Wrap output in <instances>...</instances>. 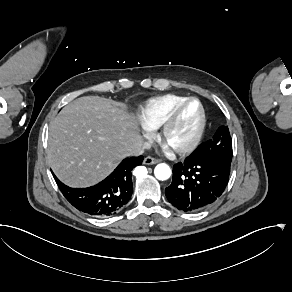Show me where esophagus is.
Returning a JSON list of instances; mask_svg holds the SVG:
<instances>
[{
	"instance_id": "34e87169",
	"label": "esophagus",
	"mask_w": 292,
	"mask_h": 292,
	"mask_svg": "<svg viewBox=\"0 0 292 292\" xmlns=\"http://www.w3.org/2000/svg\"><path fill=\"white\" fill-rule=\"evenodd\" d=\"M160 162V159H157V158H154V157H151V156H148L146 158H144V161L143 163L145 165H153V164H157Z\"/></svg>"
}]
</instances>
